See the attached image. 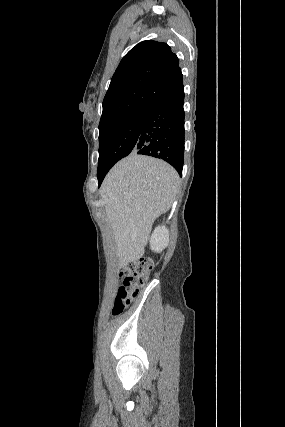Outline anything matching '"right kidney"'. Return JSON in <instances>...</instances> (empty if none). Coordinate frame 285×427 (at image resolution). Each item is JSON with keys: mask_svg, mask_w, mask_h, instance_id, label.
Segmentation results:
<instances>
[{"mask_svg": "<svg viewBox=\"0 0 285 427\" xmlns=\"http://www.w3.org/2000/svg\"><path fill=\"white\" fill-rule=\"evenodd\" d=\"M169 243V230L164 226L155 228L150 238V247L155 252H161Z\"/></svg>", "mask_w": 285, "mask_h": 427, "instance_id": "ca27d5eb", "label": "right kidney"}]
</instances>
